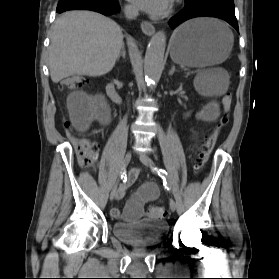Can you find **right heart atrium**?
Returning a JSON list of instances; mask_svg holds the SVG:
<instances>
[{
	"instance_id": "obj_1",
	"label": "right heart atrium",
	"mask_w": 279,
	"mask_h": 279,
	"mask_svg": "<svg viewBox=\"0 0 279 279\" xmlns=\"http://www.w3.org/2000/svg\"><path fill=\"white\" fill-rule=\"evenodd\" d=\"M127 10H128L129 12H132V11H133V8H132L131 6H128V7H127Z\"/></svg>"
}]
</instances>
